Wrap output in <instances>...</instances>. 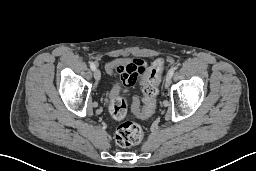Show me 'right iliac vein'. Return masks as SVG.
Returning <instances> with one entry per match:
<instances>
[{"label": "right iliac vein", "mask_w": 256, "mask_h": 171, "mask_svg": "<svg viewBox=\"0 0 256 171\" xmlns=\"http://www.w3.org/2000/svg\"><path fill=\"white\" fill-rule=\"evenodd\" d=\"M94 77H95L96 81H100V79H101V72H100L99 69H95L94 70Z\"/></svg>", "instance_id": "right-iliac-vein-1"}]
</instances>
